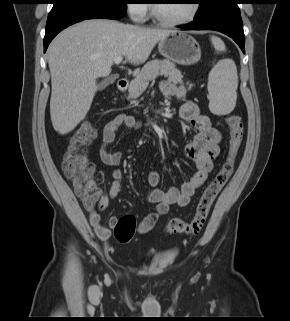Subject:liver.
<instances>
[{"label": "liver", "instance_id": "liver-1", "mask_svg": "<svg viewBox=\"0 0 290 321\" xmlns=\"http://www.w3.org/2000/svg\"><path fill=\"white\" fill-rule=\"evenodd\" d=\"M173 31L114 20L91 19L68 27L51 42L48 64L53 128L65 135L84 119L98 89L97 79L111 73L114 59L144 63L155 45Z\"/></svg>", "mask_w": 290, "mask_h": 321}]
</instances>
